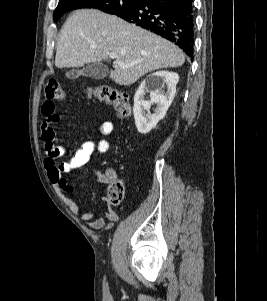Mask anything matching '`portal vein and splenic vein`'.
I'll return each instance as SVG.
<instances>
[{
  "label": "portal vein and splenic vein",
  "instance_id": "1",
  "mask_svg": "<svg viewBox=\"0 0 267 301\" xmlns=\"http://www.w3.org/2000/svg\"><path fill=\"white\" fill-rule=\"evenodd\" d=\"M109 56L112 59H115V57H116L114 53H110ZM115 62H116V64H118L121 67H128V65L124 64L122 61L116 60Z\"/></svg>",
  "mask_w": 267,
  "mask_h": 301
}]
</instances>
